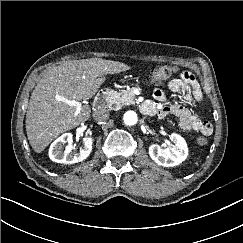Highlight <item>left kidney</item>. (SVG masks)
Instances as JSON below:
<instances>
[{
	"label": "left kidney",
	"instance_id": "5707ae66",
	"mask_svg": "<svg viewBox=\"0 0 243 243\" xmlns=\"http://www.w3.org/2000/svg\"><path fill=\"white\" fill-rule=\"evenodd\" d=\"M170 138L176 143L175 147L162 149L157 144H153L149 147V155L151 159L163 167L179 165L186 160L188 156V147L185 139L177 133H172Z\"/></svg>",
	"mask_w": 243,
	"mask_h": 243
}]
</instances>
